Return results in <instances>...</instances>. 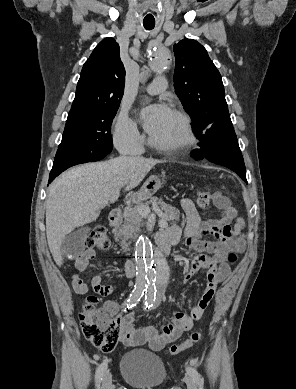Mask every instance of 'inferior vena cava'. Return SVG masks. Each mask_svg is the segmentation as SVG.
<instances>
[{"instance_id": "inferior-vena-cava-1", "label": "inferior vena cava", "mask_w": 296, "mask_h": 389, "mask_svg": "<svg viewBox=\"0 0 296 389\" xmlns=\"http://www.w3.org/2000/svg\"><path fill=\"white\" fill-rule=\"evenodd\" d=\"M128 153L131 156H139L142 154V148L138 143H133Z\"/></svg>"}]
</instances>
